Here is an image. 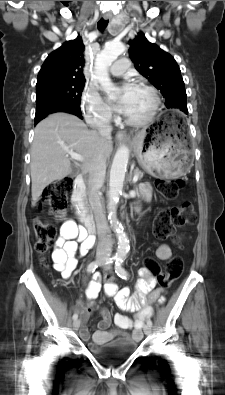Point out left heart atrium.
I'll return each mask as SVG.
<instances>
[{"label":"left heart atrium","instance_id":"1","mask_svg":"<svg viewBox=\"0 0 225 395\" xmlns=\"http://www.w3.org/2000/svg\"><path fill=\"white\" fill-rule=\"evenodd\" d=\"M136 87L125 84L120 95L117 97L114 108L124 115H127L135 98Z\"/></svg>","mask_w":225,"mask_h":395}]
</instances>
